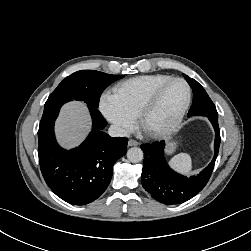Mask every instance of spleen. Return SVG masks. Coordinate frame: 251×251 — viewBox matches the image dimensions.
I'll list each match as a JSON object with an SVG mask.
<instances>
[{"mask_svg": "<svg viewBox=\"0 0 251 251\" xmlns=\"http://www.w3.org/2000/svg\"><path fill=\"white\" fill-rule=\"evenodd\" d=\"M169 164L177 171L188 174L192 169V161L188 154L180 153L175 155L169 162Z\"/></svg>", "mask_w": 251, "mask_h": 251, "instance_id": "3e777b00", "label": "spleen"}]
</instances>
